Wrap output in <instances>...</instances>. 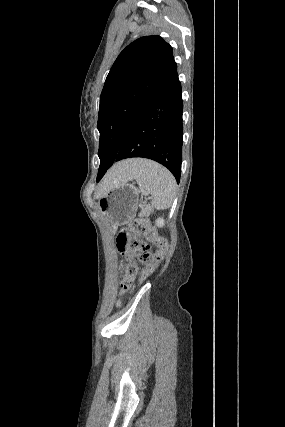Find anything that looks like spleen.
<instances>
[{
  "label": "spleen",
  "mask_w": 285,
  "mask_h": 427,
  "mask_svg": "<svg viewBox=\"0 0 285 427\" xmlns=\"http://www.w3.org/2000/svg\"><path fill=\"white\" fill-rule=\"evenodd\" d=\"M132 179L136 180L143 195H151L152 205L157 210H164L172 204L176 194V181L160 164L143 160Z\"/></svg>",
  "instance_id": "1"
}]
</instances>
